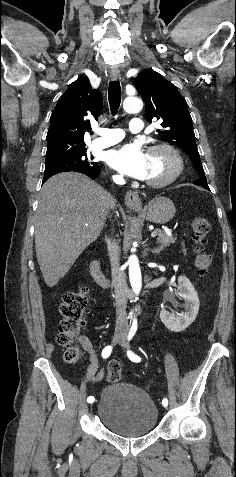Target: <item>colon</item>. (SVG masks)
<instances>
[{
  "label": "colon",
  "mask_w": 236,
  "mask_h": 477,
  "mask_svg": "<svg viewBox=\"0 0 236 477\" xmlns=\"http://www.w3.org/2000/svg\"><path fill=\"white\" fill-rule=\"evenodd\" d=\"M211 231V223L204 216H197L193 221L192 238L196 244L195 266L205 274L211 263L212 255L204 252L201 245L205 243ZM88 310L87 289L82 287L76 291L67 292L59 305L61 321L56 335L57 343L65 349L64 358L68 363L75 364L81 358V351L76 342L81 329L85 326V314ZM121 379V365L113 360L108 365L107 380L116 383Z\"/></svg>",
  "instance_id": "obj_1"
}]
</instances>
